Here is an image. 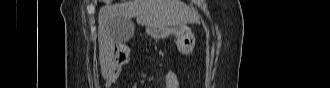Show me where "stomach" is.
I'll list each match as a JSON object with an SVG mask.
<instances>
[{"mask_svg":"<svg viewBox=\"0 0 330 88\" xmlns=\"http://www.w3.org/2000/svg\"><path fill=\"white\" fill-rule=\"evenodd\" d=\"M167 31L168 34H175L178 50L182 54H188L193 50L195 46V35L190 27L187 25H177L172 30L168 29ZM152 35L156 36L157 32L153 31Z\"/></svg>","mask_w":330,"mask_h":88,"instance_id":"1","label":"stomach"}]
</instances>
